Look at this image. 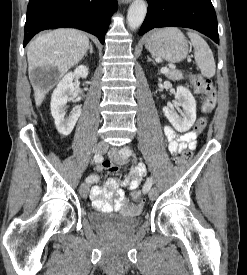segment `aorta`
<instances>
[{"label":"aorta","mask_w":247,"mask_h":275,"mask_svg":"<svg viewBox=\"0 0 247 275\" xmlns=\"http://www.w3.org/2000/svg\"><path fill=\"white\" fill-rule=\"evenodd\" d=\"M147 13L145 0H134L128 9L127 22L131 30L138 29Z\"/></svg>","instance_id":"aorta-1"}]
</instances>
